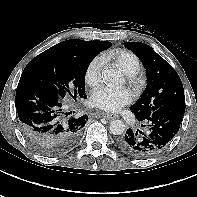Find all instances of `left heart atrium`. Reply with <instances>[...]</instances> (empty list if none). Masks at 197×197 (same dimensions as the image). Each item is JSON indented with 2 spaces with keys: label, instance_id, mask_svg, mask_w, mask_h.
<instances>
[{
  "label": "left heart atrium",
  "instance_id": "obj_1",
  "mask_svg": "<svg viewBox=\"0 0 197 197\" xmlns=\"http://www.w3.org/2000/svg\"><path fill=\"white\" fill-rule=\"evenodd\" d=\"M133 99L132 93L128 89H115L108 86H101L96 89L91 96V105L107 111L117 112Z\"/></svg>",
  "mask_w": 197,
  "mask_h": 197
}]
</instances>
